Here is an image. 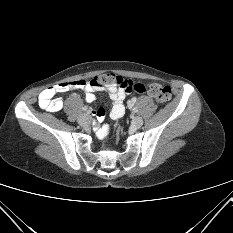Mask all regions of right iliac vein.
<instances>
[{"label": "right iliac vein", "instance_id": "1", "mask_svg": "<svg viewBox=\"0 0 233 233\" xmlns=\"http://www.w3.org/2000/svg\"><path fill=\"white\" fill-rule=\"evenodd\" d=\"M91 122V117L88 114H82L79 118H78V123L81 126H86L88 124H90Z\"/></svg>", "mask_w": 233, "mask_h": 233}]
</instances>
